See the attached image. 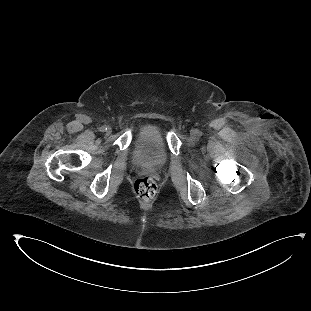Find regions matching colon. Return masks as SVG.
<instances>
[{
  "label": "colon",
  "instance_id": "1",
  "mask_svg": "<svg viewBox=\"0 0 311 311\" xmlns=\"http://www.w3.org/2000/svg\"><path fill=\"white\" fill-rule=\"evenodd\" d=\"M156 191V183L150 176H140L134 182V194L140 201L147 202L151 200L155 196Z\"/></svg>",
  "mask_w": 311,
  "mask_h": 311
}]
</instances>
